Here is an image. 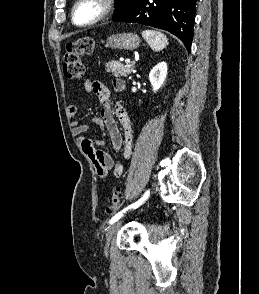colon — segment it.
<instances>
[{"mask_svg":"<svg viewBox=\"0 0 259 294\" xmlns=\"http://www.w3.org/2000/svg\"><path fill=\"white\" fill-rule=\"evenodd\" d=\"M95 48V40L91 37H81L68 42L63 56V73L68 79H80L85 73V66L82 57L90 55ZM122 201V191L120 188L113 190L109 212L116 211Z\"/></svg>","mask_w":259,"mask_h":294,"instance_id":"colon-1","label":"colon"}]
</instances>
